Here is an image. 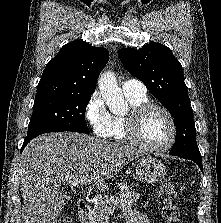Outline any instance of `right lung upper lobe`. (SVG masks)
Masks as SVG:
<instances>
[{
  "instance_id": "1",
  "label": "right lung upper lobe",
  "mask_w": 221,
  "mask_h": 223,
  "mask_svg": "<svg viewBox=\"0 0 221 223\" xmlns=\"http://www.w3.org/2000/svg\"><path fill=\"white\" fill-rule=\"evenodd\" d=\"M109 52L74 40L49 61L38 83L35 100L54 96L93 94Z\"/></svg>"
}]
</instances>
